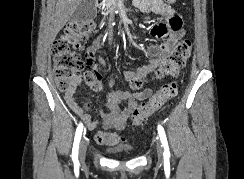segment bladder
I'll return each mask as SVG.
<instances>
[{"instance_id": "obj_1", "label": "bladder", "mask_w": 244, "mask_h": 179, "mask_svg": "<svg viewBox=\"0 0 244 179\" xmlns=\"http://www.w3.org/2000/svg\"><path fill=\"white\" fill-rule=\"evenodd\" d=\"M106 152L109 155H118V156H122L123 154H129V151H126L122 148H111V149H107Z\"/></svg>"}]
</instances>
